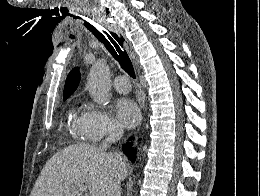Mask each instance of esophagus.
<instances>
[{
    "label": "esophagus",
    "mask_w": 260,
    "mask_h": 196,
    "mask_svg": "<svg viewBox=\"0 0 260 196\" xmlns=\"http://www.w3.org/2000/svg\"><path fill=\"white\" fill-rule=\"evenodd\" d=\"M118 31H119V33L122 34V31H121L120 29H119ZM126 49H127V51L130 53V55H131L132 58H133V57H134V54H133V52H132L131 46L128 45V44H126Z\"/></svg>",
    "instance_id": "esophagus-1"
}]
</instances>
